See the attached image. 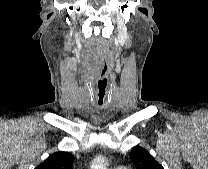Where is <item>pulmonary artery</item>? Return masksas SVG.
Returning <instances> with one entry per match:
<instances>
[{"mask_svg":"<svg viewBox=\"0 0 208 169\" xmlns=\"http://www.w3.org/2000/svg\"><path fill=\"white\" fill-rule=\"evenodd\" d=\"M114 169H128V167H126V166H117Z\"/></svg>","mask_w":208,"mask_h":169,"instance_id":"pulmonary-artery-1","label":"pulmonary artery"}]
</instances>
